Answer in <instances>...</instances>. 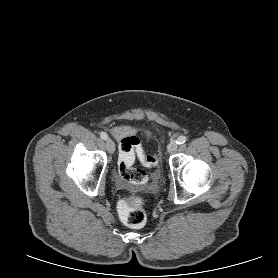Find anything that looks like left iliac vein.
I'll return each instance as SVG.
<instances>
[{
	"label": "left iliac vein",
	"instance_id": "4c4485c4",
	"mask_svg": "<svg viewBox=\"0 0 278 278\" xmlns=\"http://www.w3.org/2000/svg\"><path fill=\"white\" fill-rule=\"evenodd\" d=\"M178 147V144L176 143V141H172L169 146H168V152L169 153H173Z\"/></svg>",
	"mask_w": 278,
	"mask_h": 278
}]
</instances>
